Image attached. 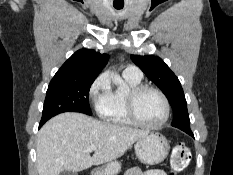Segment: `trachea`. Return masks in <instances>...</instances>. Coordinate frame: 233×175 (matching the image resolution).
Wrapping results in <instances>:
<instances>
[{"label":"trachea","instance_id":"3493384b","mask_svg":"<svg viewBox=\"0 0 233 175\" xmlns=\"http://www.w3.org/2000/svg\"><path fill=\"white\" fill-rule=\"evenodd\" d=\"M123 6H124V4H121V5H115V4H114V8L117 9V10L122 9Z\"/></svg>","mask_w":233,"mask_h":175}]
</instances>
